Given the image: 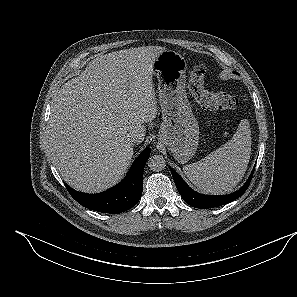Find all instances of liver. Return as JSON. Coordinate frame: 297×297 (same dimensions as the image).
<instances>
[{
  "mask_svg": "<svg viewBox=\"0 0 297 297\" xmlns=\"http://www.w3.org/2000/svg\"><path fill=\"white\" fill-rule=\"evenodd\" d=\"M165 50L142 46L98 56L54 98L49 151L64 181L88 193L117 183L128 169L132 133L143 139L157 115L153 63Z\"/></svg>",
  "mask_w": 297,
  "mask_h": 297,
  "instance_id": "liver-1",
  "label": "liver"
}]
</instances>
